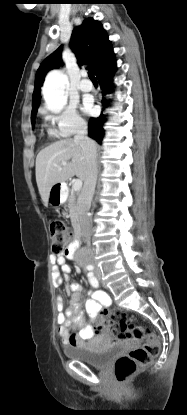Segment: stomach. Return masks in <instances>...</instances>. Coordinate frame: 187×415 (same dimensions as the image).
<instances>
[{
    "label": "stomach",
    "mask_w": 187,
    "mask_h": 415,
    "mask_svg": "<svg viewBox=\"0 0 187 415\" xmlns=\"http://www.w3.org/2000/svg\"><path fill=\"white\" fill-rule=\"evenodd\" d=\"M65 190V184L64 183H58L55 184L54 186H52L50 192H49V203L52 206H59L60 204H62V197H63V192Z\"/></svg>",
    "instance_id": "stomach-1"
}]
</instances>
